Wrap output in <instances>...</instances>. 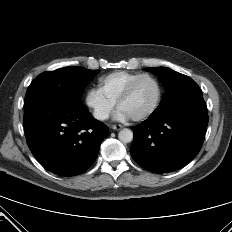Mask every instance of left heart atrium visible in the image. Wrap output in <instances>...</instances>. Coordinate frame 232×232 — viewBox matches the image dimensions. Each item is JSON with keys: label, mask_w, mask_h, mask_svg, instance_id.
I'll use <instances>...</instances> for the list:
<instances>
[{"label": "left heart atrium", "mask_w": 232, "mask_h": 232, "mask_svg": "<svg viewBox=\"0 0 232 232\" xmlns=\"http://www.w3.org/2000/svg\"><path fill=\"white\" fill-rule=\"evenodd\" d=\"M130 118H132V117L121 108H119L115 114V119L118 121H126Z\"/></svg>", "instance_id": "obj_1"}]
</instances>
